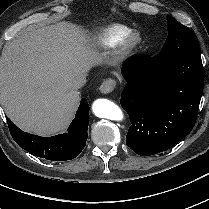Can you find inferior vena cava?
<instances>
[{"label": "inferior vena cava", "instance_id": "1", "mask_svg": "<svg viewBox=\"0 0 209 209\" xmlns=\"http://www.w3.org/2000/svg\"><path fill=\"white\" fill-rule=\"evenodd\" d=\"M86 83V75L85 74H82V75H79L77 76L73 83H72V86L74 89H79L81 87H83Z\"/></svg>", "mask_w": 209, "mask_h": 209}]
</instances>
